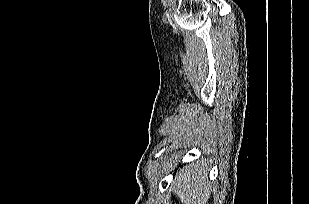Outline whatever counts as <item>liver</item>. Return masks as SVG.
<instances>
[{
  "mask_svg": "<svg viewBox=\"0 0 309 204\" xmlns=\"http://www.w3.org/2000/svg\"><path fill=\"white\" fill-rule=\"evenodd\" d=\"M173 168L171 167V170ZM208 169L202 161L180 169L171 183L173 192L183 204H207L211 183L207 182Z\"/></svg>",
  "mask_w": 309,
  "mask_h": 204,
  "instance_id": "liver-1",
  "label": "liver"
}]
</instances>
